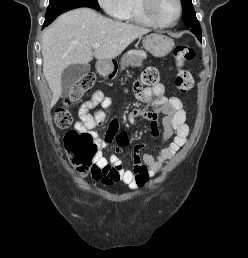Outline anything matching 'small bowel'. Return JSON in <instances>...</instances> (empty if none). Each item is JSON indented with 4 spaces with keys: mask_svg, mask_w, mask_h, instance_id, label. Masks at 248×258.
<instances>
[{
    "mask_svg": "<svg viewBox=\"0 0 248 258\" xmlns=\"http://www.w3.org/2000/svg\"><path fill=\"white\" fill-rule=\"evenodd\" d=\"M136 96L143 103H150L153 97H156L153 103L152 112H143L141 110H133L129 114V121L133 122L139 117H144L151 122V132L154 137L158 134L157 114L162 113V141L165 142L173 137L172 142L161 149L157 156L154 157L149 153H141L145 145H137L132 154L133 169H125L122 161L116 155H111L108 159L104 158L101 152L95 157V164L100 168L114 169L118 172L117 176H100L99 180L106 184H112L122 181L132 190L144 188L149 178L159 172L161 166L170 160L181 147L184 146L189 134V126L186 123V111L180 98L165 97L164 87L157 85L155 87H138ZM100 105L102 109L90 113L91 109ZM112 100L104 96L101 91H96L92 98L84 102L78 111L79 120L74 125L76 131L89 132L98 148H104L114 139L118 129L119 121L114 118L110 121L105 138L101 139L95 128L106 121V113L104 110L110 108ZM109 178V180H108Z\"/></svg>",
    "mask_w": 248,
    "mask_h": 258,
    "instance_id": "obj_1",
    "label": "small bowel"
}]
</instances>
